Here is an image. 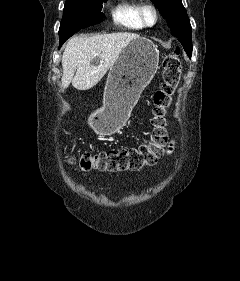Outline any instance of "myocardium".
<instances>
[{
	"mask_svg": "<svg viewBox=\"0 0 240 281\" xmlns=\"http://www.w3.org/2000/svg\"><path fill=\"white\" fill-rule=\"evenodd\" d=\"M151 13L153 16V20L149 21L147 14ZM139 16L141 19V22L143 23V25L145 27H153L155 26L160 19V14L158 11V8L156 7V5H154L153 3H143L140 5L139 8Z\"/></svg>",
	"mask_w": 240,
	"mask_h": 281,
	"instance_id": "obj_1",
	"label": "myocardium"
}]
</instances>
